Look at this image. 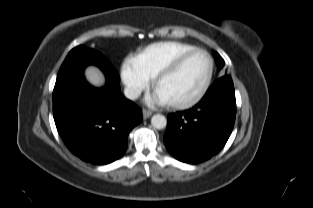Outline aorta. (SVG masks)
<instances>
[{
	"label": "aorta",
	"instance_id": "762f6f07",
	"mask_svg": "<svg viewBox=\"0 0 313 208\" xmlns=\"http://www.w3.org/2000/svg\"><path fill=\"white\" fill-rule=\"evenodd\" d=\"M151 124L156 129H163L167 125V120L165 116L161 114H156L151 118Z\"/></svg>",
	"mask_w": 313,
	"mask_h": 208
}]
</instances>
